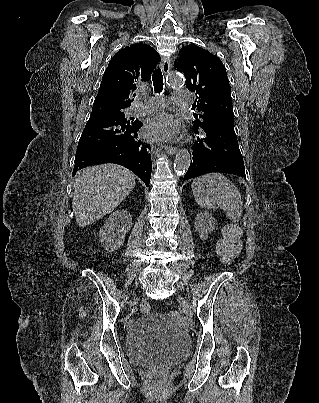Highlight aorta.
<instances>
[{"label": "aorta", "instance_id": "aorta-1", "mask_svg": "<svg viewBox=\"0 0 319 403\" xmlns=\"http://www.w3.org/2000/svg\"><path fill=\"white\" fill-rule=\"evenodd\" d=\"M166 83L171 87H180L183 85V79L175 73L170 74ZM191 156L187 149H181L176 154L174 161V170L177 174H184L190 166Z\"/></svg>", "mask_w": 319, "mask_h": 403}]
</instances>
